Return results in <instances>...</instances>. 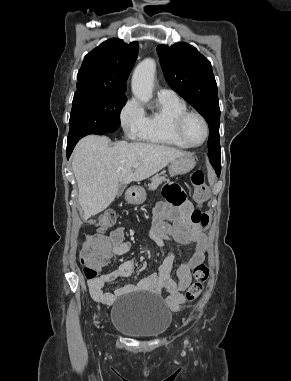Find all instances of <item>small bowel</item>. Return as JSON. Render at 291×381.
I'll return each mask as SVG.
<instances>
[{
  "mask_svg": "<svg viewBox=\"0 0 291 381\" xmlns=\"http://www.w3.org/2000/svg\"><path fill=\"white\" fill-rule=\"evenodd\" d=\"M166 194L169 200L170 196H175L180 199V202L173 203L170 201L157 204L153 213V227L150 231V238L160 248H163L167 241L194 245L192 255L177 268L178 281L171 277L175 256L170 253L156 273L136 284L121 286L114 293L104 291L103 288L106 283L132 274L135 261L134 259H127L118 269L88 279L89 292L94 301L110 306L116 297L128 293L149 291L154 294H161L162 291H166L165 302L167 306L172 311L180 309L185 300L184 292L192 281L191 271L204 260L207 239L204 234L192 226L190 215L193 208L189 202L185 201L183 193L171 187L166 190ZM84 246L91 247L96 251L106 252L110 257L111 255L121 256L129 252L132 248V242L125 239L124 228L117 227L109 235L97 233L87 235Z\"/></svg>",
  "mask_w": 291,
  "mask_h": 381,
  "instance_id": "small-bowel-1",
  "label": "small bowel"
}]
</instances>
